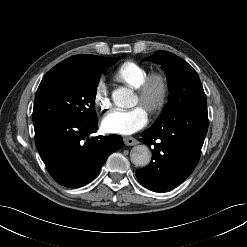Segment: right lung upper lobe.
Wrapping results in <instances>:
<instances>
[{
  "label": "right lung upper lobe",
  "mask_w": 247,
  "mask_h": 247,
  "mask_svg": "<svg viewBox=\"0 0 247 247\" xmlns=\"http://www.w3.org/2000/svg\"><path fill=\"white\" fill-rule=\"evenodd\" d=\"M100 57L90 54L76 55L61 63L57 64L54 68H88L94 65Z\"/></svg>",
  "instance_id": "obj_1"
}]
</instances>
